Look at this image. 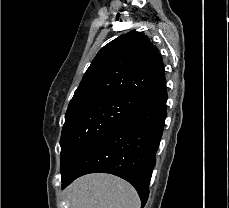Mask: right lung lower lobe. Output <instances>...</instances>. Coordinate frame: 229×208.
<instances>
[{
  "label": "right lung lower lobe",
  "instance_id": "right-lung-lower-lobe-1",
  "mask_svg": "<svg viewBox=\"0 0 229 208\" xmlns=\"http://www.w3.org/2000/svg\"><path fill=\"white\" fill-rule=\"evenodd\" d=\"M166 100L165 90L91 143L62 176V188L88 173H111L135 187L143 208L167 116Z\"/></svg>",
  "mask_w": 229,
  "mask_h": 208
}]
</instances>
